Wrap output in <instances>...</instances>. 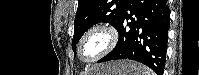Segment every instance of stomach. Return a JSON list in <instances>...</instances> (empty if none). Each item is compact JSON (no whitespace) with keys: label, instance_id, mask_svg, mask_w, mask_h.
<instances>
[{"label":"stomach","instance_id":"obj_1","mask_svg":"<svg viewBox=\"0 0 199 75\" xmlns=\"http://www.w3.org/2000/svg\"><path fill=\"white\" fill-rule=\"evenodd\" d=\"M142 69L133 61H113L94 66L88 75H141Z\"/></svg>","mask_w":199,"mask_h":75}]
</instances>
